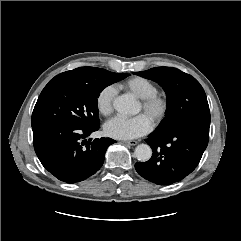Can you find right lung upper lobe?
I'll list each match as a JSON object with an SVG mask.
<instances>
[{
	"label": "right lung upper lobe",
	"mask_w": 241,
	"mask_h": 241,
	"mask_svg": "<svg viewBox=\"0 0 241 241\" xmlns=\"http://www.w3.org/2000/svg\"><path fill=\"white\" fill-rule=\"evenodd\" d=\"M99 68L96 67H79L74 70L66 71L61 74L82 78V79H89L96 76Z\"/></svg>",
	"instance_id": "obj_1"
}]
</instances>
